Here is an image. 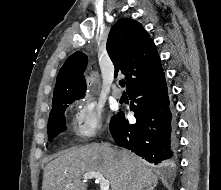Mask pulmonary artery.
<instances>
[{
  "instance_id": "1",
  "label": "pulmonary artery",
  "mask_w": 221,
  "mask_h": 190,
  "mask_svg": "<svg viewBox=\"0 0 221 190\" xmlns=\"http://www.w3.org/2000/svg\"><path fill=\"white\" fill-rule=\"evenodd\" d=\"M112 94L114 96V98L116 99H120L122 97V90L120 88H118L117 86H115L112 90Z\"/></svg>"
}]
</instances>
